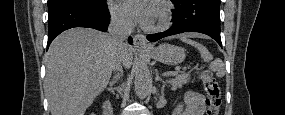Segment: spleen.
<instances>
[{"label":"spleen","mask_w":285,"mask_h":115,"mask_svg":"<svg viewBox=\"0 0 285 115\" xmlns=\"http://www.w3.org/2000/svg\"><path fill=\"white\" fill-rule=\"evenodd\" d=\"M181 40L191 46H194L200 52L202 59L205 62H210V69L216 72L217 77L221 78L225 75V66L223 61L220 58H216L215 60H213L212 54L204 45L186 37H182Z\"/></svg>","instance_id":"obj_1"}]
</instances>
